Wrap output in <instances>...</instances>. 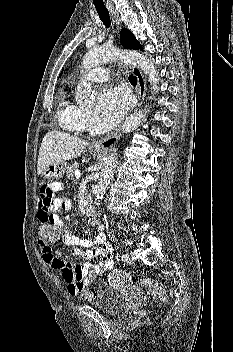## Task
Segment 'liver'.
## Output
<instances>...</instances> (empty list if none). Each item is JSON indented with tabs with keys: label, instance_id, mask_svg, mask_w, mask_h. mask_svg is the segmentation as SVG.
I'll return each mask as SVG.
<instances>
[{
	"label": "liver",
	"instance_id": "6515ba94",
	"mask_svg": "<svg viewBox=\"0 0 233 352\" xmlns=\"http://www.w3.org/2000/svg\"><path fill=\"white\" fill-rule=\"evenodd\" d=\"M88 142L55 130L49 131L43 138L39 150L37 172L43 170L55 162H65L80 156Z\"/></svg>",
	"mask_w": 233,
	"mask_h": 352
}]
</instances>
